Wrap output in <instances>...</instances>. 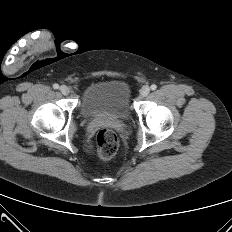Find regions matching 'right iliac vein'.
Returning a JSON list of instances; mask_svg holds the SVG:
<instances>
[{
  "label": "right iliac vein",
  "mask_w": 232,
  "mask_h": 232,
  "mask_svg": "<svg viewBox=\"0 0 232 232\" xmlns=\"http://www.w3.org/2000/svg\"><path fill=\"white\" fill-rule=\"evenodd\" d=\"M59 90H60V92H61L62 94H64V95H67V94H69V92H70L69 87L66 86V85L60 86Z\"/></svg>",
  "instance_id": "1"
}]
</instances>
